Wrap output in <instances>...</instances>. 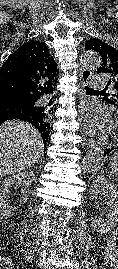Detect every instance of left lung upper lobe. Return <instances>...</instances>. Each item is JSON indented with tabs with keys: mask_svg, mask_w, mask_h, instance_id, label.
Masks as SVG:
<instances>
[{
	"mask_svg": "<svg viewBox=\"0 0 118 269\" xmlns=\"http://www.w3.org/2000/svg\"><path fill=\"white\" fill-rule=\"evenodd\" d=\"M85 50H93L101 55L102 65L97 69V73L107 74L110 77L108 83L112 84L114 90L112 98L106 97L104 99L118 107V50L99 39L87 41Z\"/></svg>",
	"mask_w": 118,
	"mask_h": 269,
	"instance_id": "left-lung-upper-lobe-1",
	"label": "left lung upper lobe"
}]
</instances>
